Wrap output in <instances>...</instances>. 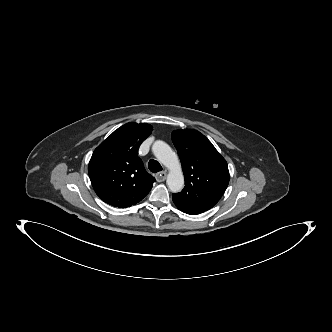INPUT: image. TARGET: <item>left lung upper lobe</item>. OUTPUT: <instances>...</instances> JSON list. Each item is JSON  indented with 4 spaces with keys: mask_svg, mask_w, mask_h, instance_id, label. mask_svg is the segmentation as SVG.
I'll use <instances>...</instances> for the list:
<instances>
[{
    "mask_svg": "<svg viewBox=\"0 0 332 332\" xmlns=\"http://www.w3.org/2000/svg\"><path fill=\"white\" fill-rule=\"evenodd\" d=\"M172 142L177 149L185 177V187L172 195L173 201L199 212L216 205L229 183L226 160L200 132L175 130Z\"/></svg>",
    "mask_w": 332,
    "mask_h": 332,
    "instance_id": "5c2ea615",
    "label": "left lung upper lobe"
}]
</instances>
